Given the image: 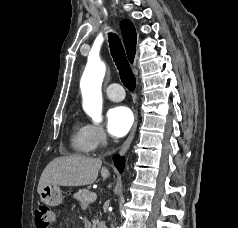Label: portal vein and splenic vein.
Wrapping results in <instances>:
<instances>
[{
    "instance_id": "1",
    "label": "portal vein and splenic vein",
    "mask_w": 238,
    "mask_h": 228,
    "mask_svg": "<svg viewBox=\"0 0 238 228\" xmlns=\"http://www.w3.org/2000/svg\"><path fill=\"white\" fill-rule=\"evenodd\" d=\"M96 198H97L96 193H91L85 199L86 200H96Z\"/></svg>"
}]
</instances>
